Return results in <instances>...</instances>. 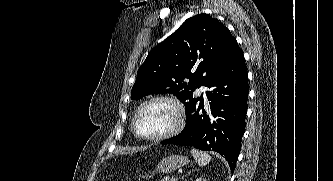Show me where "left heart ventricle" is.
I'll return each mask as SVG.
<instances>
[{"label":"left heart ventricle","mask_w":333,"mask_h":181,"mask_svg":"<svg viewBox=\"0 0 333 181\" xmlns=\"http://www.w3.org/2000/svg\"><path fill=\"white\" fill-rule=\"evenodd\" d=\"M175 122V108L168 102L156 101L140 112L137 129L144 136H157L170 130Z\"/></svg>","instance_id":"1"}]
</instances>
